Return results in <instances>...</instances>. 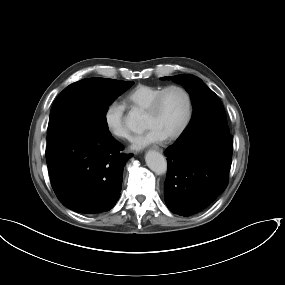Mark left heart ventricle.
I'll return each instance as SVG.
<instances>
[{
    "instance_id": "left-heart-ventricle-1",
    "label": "left heart ventricle",
    "mask_w": 285,
    "mask_h": 285,
    "mask_svg": "<svg viewBox=\"0 0 285 285\" xmlns=\"http://www.w3.org/2000/svg\"><path fill=\"white\" fill-rule=\"evenodd\" d=\"M186 113V99L177 90H169L162 98L159 109L155 113L144 114L146 128H153L164 137L174 133L181 125Z\"/></svg>"
}]
</instances>
